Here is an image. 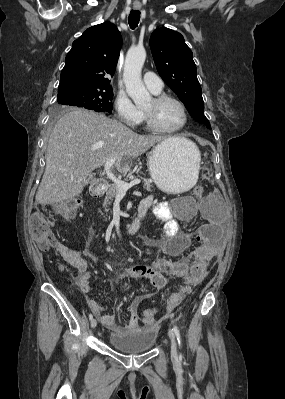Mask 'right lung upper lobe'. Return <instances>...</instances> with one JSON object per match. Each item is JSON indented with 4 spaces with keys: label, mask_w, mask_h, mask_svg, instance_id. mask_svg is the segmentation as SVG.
<instances>
[{
    "label": "right lung upper lobe",
    "mask_w": 285,
    "mask_h": 399,
    "mask_svg": "<svg viewBox=\"0 0 285 399\" xmlns=\"http://www.w3.org/2000/svg\"><path fill=\"white\" fill-rule=\"evenodd\" d=\"M122 37L110 22L88 28L73 42L61 72L59 93L78 89H111Z\"/></svg>",
    "instance_id": "obj_1"
}]
</instances>
